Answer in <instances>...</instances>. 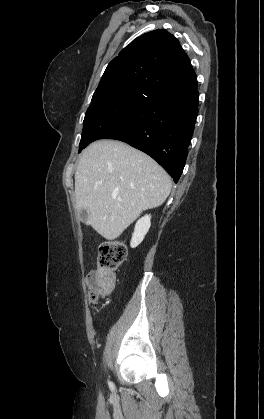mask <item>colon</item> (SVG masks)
Returning <instances> with one entry per match:
<instances>
[{"label": "colon", "instance_id": "5ec220e1", "mask_svg": "<svg viewBox=\"0 0 264 419\" xmlns=\"http://www.w3.org/2000/svg\"><path fill=\"white\" fill-rule=\"evenodd\" d=\"M126 254V246L120 241H109L100 245L97 268L89 274L87 279L92 303H96L101 297L113 292L116 271L124 262Z\"/></svg>", "mask_w": 264, "mask_h": 419}]
</instances>
